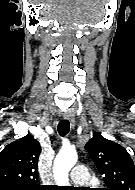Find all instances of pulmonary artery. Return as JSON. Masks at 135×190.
<instances>
[{
  "mask_svg": "<svg viewBox=\"0 0 135 190\" xmlns=\"http://www.w3.org/2000/svg\"><path fill=\"white\" fill-rule=\"evenodd\" d=\"M70 179L79 185L87 184L89 181V173L87 167L82 164L76 165L70 173Z\"/></svg>",
  "mask_w": 135,
  "mask_h": 190,
  "instance_id": "obj_1",
  "label": "pulmonary artery"
}]
</instances>
